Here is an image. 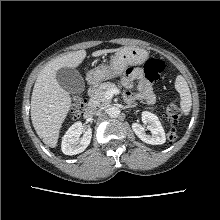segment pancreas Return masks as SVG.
<instances>
[{"instance_id":"cf45deb5","label":"pancreas","mask_w":220,"mask_h":220,"mask_svg":"<svg viewBox=\"0 0 220 220\" xmlns=\"http://www.w3.org/2000/svg\"><path fill=\"white\" fill-rule=\"evenodd\" d=\"M117 86L111 82H105L99 85V87L95 90V92L91 95L90 105L92 107L105 108L111 102L110 99L105 98V93L108 90L115 89ZM154 110V108H149Z\"/></svg>"}]
</instances>
